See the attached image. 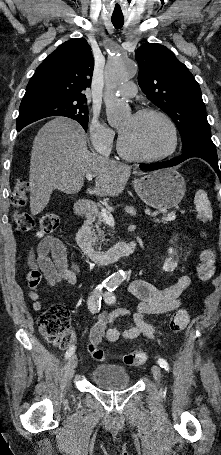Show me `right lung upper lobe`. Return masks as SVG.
<instances>
[{
	"label": "right lung upper lobe",
	"mask_w": 221,
	"mask_h": 455,
	"mask_svg": "<svg viewBox=\"0 0 221 455\" xmlns=\"http://www.w3.org/2000/svg\"><path fill=\"white\" fill-rule=\"evenodd\" d=\"M94 60L84 38L64 42L52 52L31 77L21 105L41 102L82 100L90 86Z\"/></svg>",
	"instance_id": "cb5924a9"
}]
</instances>
